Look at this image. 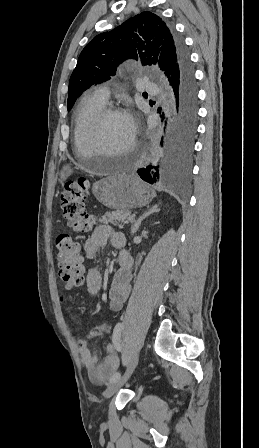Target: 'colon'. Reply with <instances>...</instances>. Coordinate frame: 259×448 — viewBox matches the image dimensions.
Here are the masks:
<instances>
[{"label": "colon", "mask_w": 259, "mask_h": 448, "mask_svg": "<svg viewBox=\"0 0 259 448\" xmlns=\"http://www.w3.org/2000/svg\"><path fill=\"white\" fill-rule=\"evenodd\" d=\"M89 181L86 178H78L65 185L61 194V210L67 225L75 231L88 232L95 217L89 214L85 208V202L89 194ZM58 248L59 275L68 287L77 288L84 283V266L81 249L68 235H60L56 240ZM95 337L93 333L89 338Z\"/></svg>", "instance_id": "5ec220e1"}]
</instances>
